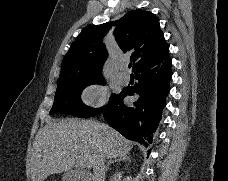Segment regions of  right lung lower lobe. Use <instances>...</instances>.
<instances>
[{
  "mask_svg": "<svg viewBox=\"0 0 228 181\" xmlns=\"http://www.w3.org/2000/svg\"><path fill=\"white\" fill-rule=\"evenodd\" d=\"M138 83L128 86L102 112L109 125L127 139L148 145L161 119L172 77L169 45L134 69ZM134 96L131 105L123 99ZM150 152V150H149Z\"/></svg>",
  "mask_w": 228,
  "mask_h": 181,
  "instance_id": "98d812e1",
  "label": "right lung lower lobe"
}]
</instances>
